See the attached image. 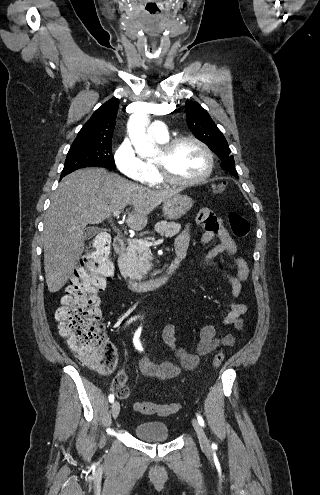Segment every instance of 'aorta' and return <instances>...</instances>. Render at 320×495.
Wrapping results in <instances>:
<instances>
[{
    "instance_id": "762f6f07",
    "label": "aorta",
    "mask_w": 320,
    "mask_h": 495,
    "mask_svg": "<svg viewBox=\"0 0 320 495\" xmlns=\"http://www.w3.org/2000/svg\"><path fill=\"white\" fill-rule=\"evenodd\" d=\"M157 110L158 107L155 104H145L139 111L132 114L128 120V135L136 152L141 157L155 156L158 153L157 147L149 140L146 133L150 115Z\"/></svg>"
}]
</instances>
